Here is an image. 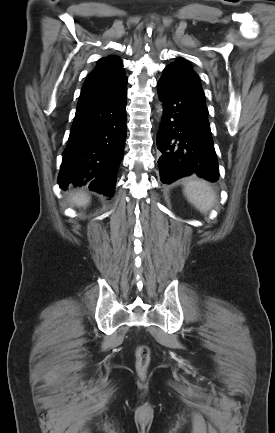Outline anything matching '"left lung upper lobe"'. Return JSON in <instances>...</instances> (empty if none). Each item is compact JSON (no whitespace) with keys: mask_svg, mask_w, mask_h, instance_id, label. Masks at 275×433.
<instances>
[{"mask_svg":"<svg viewBox=\"0 0 275 433\" xmlns=\"http://www.w3.org/2000/svg\"><path fill=\"white\" fill-rule=\"evenodd\" d=\"M162 77L197 95L205 102V95L201 88L198 75L183 59L178 58L177 61L168 65L164 69Z\"/></svg>","mask_w":275,"mask_h":433,"instance_id":"1","label":"left lung upper lobe"}]
</instances>
